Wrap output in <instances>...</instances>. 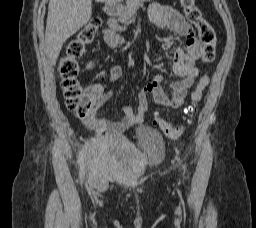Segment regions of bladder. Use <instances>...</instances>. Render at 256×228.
Listing matches in <instances>:
<instances>
[{
    "label": "bladder",
    "instance_id": "obj_1",
    "mask_svg": "<svg viewBox=\"0 0 256 228\" xmlns=\"http://www.w3.org/2000/svg\"><path fill=\"white\" fill-rule=\"evenodd\" d=\"M140 138L143 149L125 137H93L85 146L87 164L96 175L105 179L139 177L165 152L164 139L157 131L143 128Z\"/></svg>",
    "mask_w": 256,
    "mask_h": 228
}]
</instances>
